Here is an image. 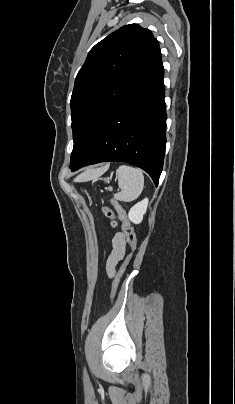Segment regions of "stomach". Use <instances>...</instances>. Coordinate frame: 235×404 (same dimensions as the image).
<instances>
[{"instance_id":"stomach-1","label":"stomach","mask_w":235,"mask_h":404,"mask_svg":"<svg viewBox=\"0 0 235 404\" xmlns=\"http://www.w3.org/2000/svg\"><path fill=\"white\" fill-rule=\"evenodd\" d=\"M103 180H104L106 183H109L110 180H111V177L104 178Z\"/></svg>"}]
</instances>
